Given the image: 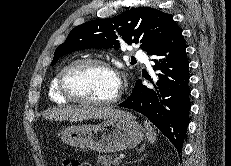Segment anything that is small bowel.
<instances>
[{
  "label": "small bowel",
  "mask_w": 231,
  "mask_h": 166,
  "mask_svg": "<svg viewBox=\"0 0 231 166\" xmlns=\"http://www.w3.org/2000/svg\"><path fill=\"white\" fill-rule=\"evenodd\" d=\"M84 166H90L89 164H84Z\"/></svg>",
  "instance_id": "c3829d8e"
}]
</instances>
